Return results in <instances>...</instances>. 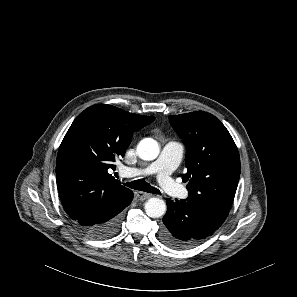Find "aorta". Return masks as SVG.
I'll return each mask as SVG.
<instances>
[{
	"mask_svg": "<svg viewBox=\"0 0 297 297\" xmlns=\"http://www.w3.org/2000/svg\"><path fill=\"white\" fill-rule=\"evenodd\" d=\"M159 145L151 138L141 140L137 146V154L139 158L146 161L154 160L159 155ZM145 212L151 218H159L166 212V204L162 199L153 197L145 203Z\"/></svg>",
	"mask_w": 297,
	"mask_h": 297,
	"instance_id": "obj_1",
	"label": "aorta"
}]
</instances>
